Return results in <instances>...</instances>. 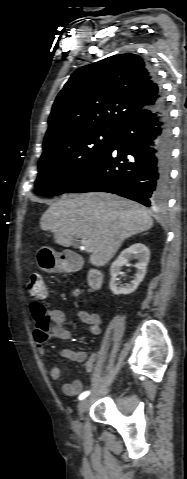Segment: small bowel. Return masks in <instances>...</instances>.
Instances as JSON below:
<instances>
[{
    "label": "small bowel",
    "mask_w": 187,
    "mask_h": 479,
    "mask_svg": "<svg viewBox=\"0 0 187 479\" xmlns=\"http://www.w3.org/2000/svg\"><path fill=\"white\" fill-rule=\"evenodd\" d=\"M32 305V304H31ZM51 317L53 321L52 337L60 341H69L72 338L71 332L65 328L66 316L64 311L60 309L51 310ZM77 318L84 323L89 332L93 335H98L101 332V317L98 313L88 312L82 309L76 311ZM38 350L41 355L45 354L42 344H38ZM60 355L71 361L82 364L83 371L91 378L95 375V365L97 362V354L94 352L88 353L85 351L75 350L72 348H63ZM49 377L52 380H58L61 377V368L57 365H50ZM83 389L80 380H74L71 383H65L62 386V392L66 396H76Z\"/></svg>",
    "instance_id": "1"
}]
</instances>
